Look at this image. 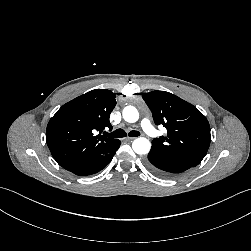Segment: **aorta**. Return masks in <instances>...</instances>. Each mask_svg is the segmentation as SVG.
<instances>
[{
  "instance_id": "1",
  "label": "aorta",
  "mask_w": 251,
  "mask_h": 251,
  "mask_svg": "<svg viewBox=\"0 0 251 251\" xmlns=\"http://www.w3.org/2000/svg\"><path fill=\"white\" fill-rule=\"evenodd\" d=\"M122 115L128 123H134L139 119V113L134 106L125 107ZM132 148L136 154L145 155L150 151L151 143L147 138L139 137L133 141Z\"/></svg>"
}]
</instances>
